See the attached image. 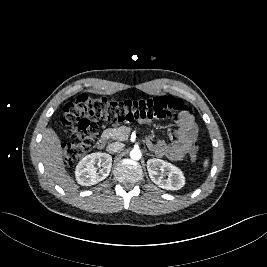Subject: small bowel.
<instances>
[{"label":"small bowel","instance_id":"small-bowel-1","mask_svg":"<svg viewBox=\"0 0 267 267\" xmlns=\"http://www.w3.org/2000/svg\"><path fill=\"white\" fill-rule=\"evenodd\" d=\"M176 123L178 128L175 131L176 139L174 141L166 142L164 139H160L157 142H153L150 138L146 139L147 146L157 156H166L173 160H179L196 141L198 127L189 112L180 114L176 118Z\"/></svg>","mask_w":267,"mask_h":267}]
</instances>
